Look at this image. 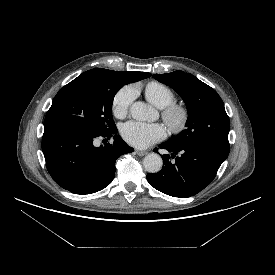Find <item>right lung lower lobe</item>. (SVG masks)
Listing matches in <instances>:
<instances>
[{
    "label": "right lung lower lobe",
    "mask_w": 275,
    "mask_h": 275,
    "mask_svg": "<svg viewBox=\"0 0 275 275\" xmlns=\"http://www.w3.org/2000/svg\"><path fill=\"white\" fill-rule=\"evenodd\" d=\"M117 128L102 135L72 129L45 130L42 151L53 180L75 194H92L107 187L114 179L115 161L133 151L116 135ZM114 135L112 144L96 147L97 138Z\"/></svg>",
    "instance_id": "obj_1"
}]
</instances>
